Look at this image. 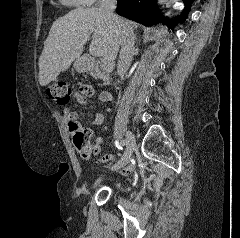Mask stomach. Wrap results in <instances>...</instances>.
Instances as JSON below:
<instances>
[{
	"instance_id": "0dacf381",
	"label": "stomach",
	"mask_w": 240,
	"mask_h": 238,
	"mask_svg": "<svg viewBox=\"0 0 240 238\" xmlns=\"http://www.w3.org/2000/svg\"><path fill=\"white\" fill-rule=\"evenodd\" d=\"M74 67L78 72H85L88 69V64L82 59H78L75 61Z\"/></svg>"
}]
</instances>
